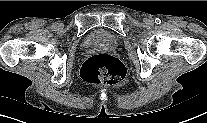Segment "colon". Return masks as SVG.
Listing matches in <instances>:
<instances>
[{
  "label": "colon",
  "mask_w": 207,
  "mask_h": 123,
  "mask_svg": "<svg viewBox=\"0 0 207 123\" xmlns=\"http://www.w3.org/2000/svg\"><path fill=\"white\" fill-rule=\"evenodd\" d=\"M82 78L90 83L114 85L126 76L122 62L109 54H96L89 57L81 67Z\"/></svg>",
  "instance_id": "obj_1"
}]
</instances>
